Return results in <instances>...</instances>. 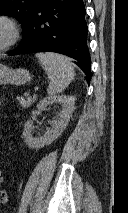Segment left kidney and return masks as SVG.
<instances>
[{"instance_id": "left-kidney-1", "label": "left kidney", "mask_w": 128, "mask_h": 213, "mask_svg": "<svg viewBox=\"0 0 128 213\" xmlns=\"http://www.w3.org/2000/svg\"><path fill=\"white\" fill-rule=\"evenodd\" d=\"M61 104L62 109L55 121L52 122V128L45 132L43 136L33 137V122L28 120L24 125L23 137L25 143L32 149H40L51 144L65 130L72 112L74 111L75 97L67 95L50 96L41 100L37 104L39 110H45L51 104Z\"/></svg>"}]
</instances>
